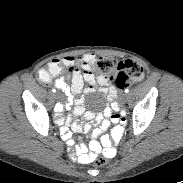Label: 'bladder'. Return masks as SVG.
Returning a JSON list of instances; mask_svg holds the SVG:
<instances>
[{
    "mask_svg": "<svg viewBox=\"0 0 183 183\" xmlns=\"http://www.w3.org/2000/svg\"><path fill=\"white\" fill-rule=\"evenodd\" d=\"M104 104V98L101 95H94L89 101V105L93 109H100Z\"/></svg>",
    "mask_w": 183,
    "mask_h": 183,
    "instance_id": "31cf9c89",
    "label": "bladder"
}]
</instances>
